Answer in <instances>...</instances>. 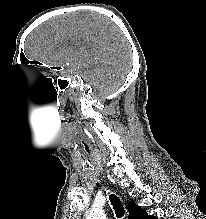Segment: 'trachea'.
I'll list each match as a JSON object with an SVG mask.
<instances>
[{
	"instance_id": "trachea-1",
	"label": "trachea",
	"mask_w": 206,
	"mask_h": 219,
	"mask_svg": "<svg viewBox=\"0 0 206 219\" xmlns=\"http://www.w3.org/2000/svg\"><path fill=\"white\" fill-rule=\"evenodd\" d=\"M110 202L113 206V209L115 211V214L118 218H121L124 216L125 211L123 208V205L121 203V201L119 200V198L117 196H115L114 194H111L109 196Z\"/></svg>"
}]
</instances>
